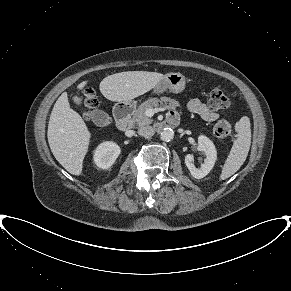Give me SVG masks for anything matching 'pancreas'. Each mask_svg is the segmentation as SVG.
Here are the masks:
<instances>
[{
	"mask_svg": "<svg viewBox=\"0 0 291 291\" xmlns=\"http://www.w3.org/2000/svg\"><path fill=\"white\" fill-rule=\"evenodd\" d=\"M165 106L167 107L168 104H172L173 106L176 105V102L174 99L168 98V97H161L158 98H152L144 103H142L134 112L132 117V123L137 126H144L149 125L153 122L152 119L146 116L145 112L149 108H157L159 106Z\"/></svg>",
	"mask_w": 291,
	"mask_h": 291,
	"instance_id": "cf45deb5",
	"label": "pancreas"
}]
</instances>
